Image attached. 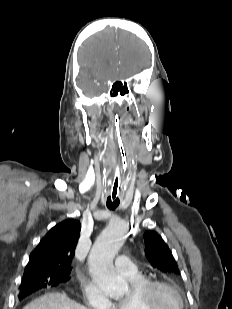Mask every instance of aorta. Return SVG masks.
Returning a JSON list of instances; mask_svg holds the SVG:
<instances>
[{
  "label": "aorta",
  "mask_w": 232,
  "mask_h": 309,
  "mask_svg": "<svg viewBox=\"0 0 232 309\" xmlns=\"http://www.w3.org/2000/svg\"><path fill=\"white\" fill-rule=\"evenodd\" d=\"M127 225L122 220L110 222L98 236L90 251L88 264L94 281L113 299H120L128 290L127 281L118 276L113 260L123 246Z\"/></svg>",
  "instance_id": "1"
}]
</instances>
